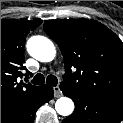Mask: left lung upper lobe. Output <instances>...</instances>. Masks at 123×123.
Returning <instances> with one entry per match:
<instances>
[{"label": "left lung upper lobe", "instance_id": "5c2ea615", "mask_svg": "<svg viewBox=\"0 0 123 123\" xmlns=\"http://www.w3.org/2000/svg\"><path fill=\"white\" fill-rule=\"evenodd\" d=\"M44 30L62 52L64 85L123 104V43L110 29L94 20L61 19L45 21Z\"/></svg>", "mask_w": 123, "mask_h": 123}]
</instances>
